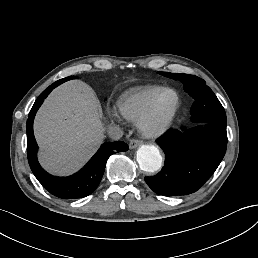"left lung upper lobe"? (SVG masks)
<instances>
[{"label":"left lung upper lobe","instance_id":"obj_1","mask_svg":"<svg viewBox=\"0 0 258 258\" xmlns=\"http://www.w3.org/2000/svg\"><path fill=\"white\" fill-rule=\"evenodd\" d=\"M159 74L174 80L178 79L184 84L185 92L194 99L191 108L193 122H216L226 125L225 110L203 79L189 74L169 72H159Z\"/></svg>","mask_w":258,"mask_h":258}]
</instances>
